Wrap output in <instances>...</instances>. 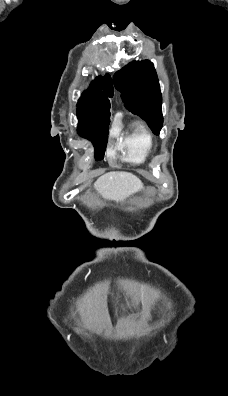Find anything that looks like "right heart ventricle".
Listing matches in <instances>:
<instances>
[{
    "label": "right heart ventricle",
    "mask_w": 228,
    "mask_h": 396,
    "mask_svg": "<svg viewBox=\"0 0 228 396\" xmlns=\"http://www.w3.org/2000/svg\"><path fill=\"white\" fill-rule=\"evenodd\" d=\"M153 147L150 133L139 123L134 124L131 131L124 135L119 143L123 159L132 163H142L146 160Z\"/></svg>",
    "instance_id": "right-heart-ventricle-1"
}]
</instances>
